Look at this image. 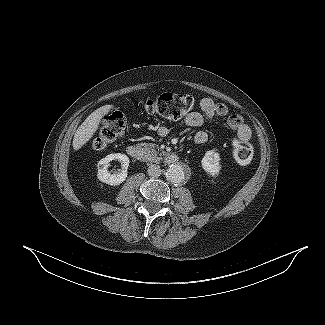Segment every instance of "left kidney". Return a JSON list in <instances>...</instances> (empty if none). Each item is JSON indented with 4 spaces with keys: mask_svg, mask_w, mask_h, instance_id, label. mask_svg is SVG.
I'll return each instance as SVG.
<instances>
[{
    "mask_svg": "<svg viewBox=\"0 0 325 325\" xmlns=\"http://www.w3.org/2000/svg\"><path fill=\"white\" fill-rule=\"evenodd\" d=\"M220 160V155L216 150H209L202 158V168L210 175L217 176L221 170Z\"/></svg>",
    "mask_w": 325,
    "mask_h": 325,
    "instance_id": "5707ae66",
    "label": "left kidney"
}]
</instances>
